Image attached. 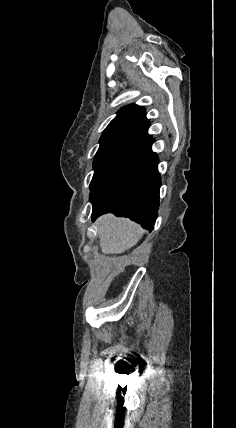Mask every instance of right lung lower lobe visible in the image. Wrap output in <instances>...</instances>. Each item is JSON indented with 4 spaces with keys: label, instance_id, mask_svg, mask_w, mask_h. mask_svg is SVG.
Here are the masks:
<instances>
[{
    "label": "right lung lower lobe",
    "instance_id": "1",
    "mask_svg": "<svg viewBox=\"0 0 236 428\" xmlns=\"http://www.w3.org/2000/svg\"><path fill=\"white\" fill-rule=\"evenodd\" d=\"M152 138L127 173L98 201L93 203L92 221L112 212L128 217L152 230L159 206L160 175L158 158L151 150Z\"/></svg>",
    "mask_w": 236,
    "mask_h": 428
}]
</instances>
